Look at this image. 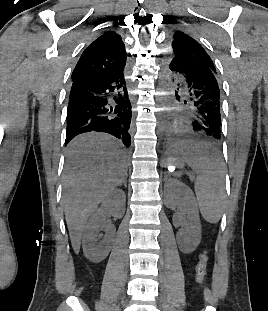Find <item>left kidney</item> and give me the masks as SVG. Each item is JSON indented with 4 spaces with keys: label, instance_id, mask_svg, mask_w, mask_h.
<instances>
[{
    "label": "left kidney",
    "instance_id": "5707ae66",
    "mask_svg": "<svg viewBox=\"0 0 268 311\" xmlns=\"http://www.w3.org/2000/svg\"><path fill=\"white\" fill-rule=\"evenodd\" d=\"M164 203L168 208L183 206L187 220L180 215L175 217V222L182 227L178 232L177 242L183 253H192L201 241V224L192 191L182 182L169 179L165 183Z\"/></svg>",
    "mask_w": 268,
    "mask_h": 311
}]
</instances>
